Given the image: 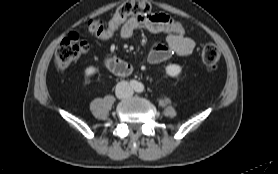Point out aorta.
I'll list each match as a JSON object with an SVG mask.
<instances>
[{"label": "aorta", "instance_id": "aorta-1", "mask_svg": "<svg viewBox=\"0 0 278 174\" xmlns=\"http://www.w3.org/2000/svg\"><path fill=\"white\" fill-rule=\"evenodd\" d=\"M136 91L137 92H142L143 91V89H144V86H143V84L142 83H137V85H136Z\"/></svg>", "mask_w": 278, "mask_h": 174}]
</instances>
